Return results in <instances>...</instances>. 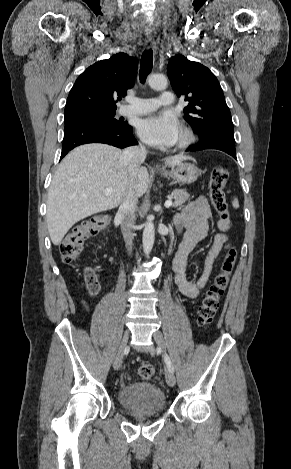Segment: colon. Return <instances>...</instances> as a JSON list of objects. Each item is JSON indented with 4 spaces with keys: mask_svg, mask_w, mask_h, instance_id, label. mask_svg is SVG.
<instances>
[{
    "mask_svg": "<svg viewBox=\"0 0 291 469\" xmlns=\"http://www.w3.org/2000/svg\"><path fill=\"white\" fill-rule=\"evenodd\" d=\"M228 178V169L224 166H216L212 170L208 185L210 201L215 212L220 219L227 222L230 217L224 189ZM108 221L109 219L106 215L99 214L71 228L60 245V254L63 262L67 264L75 262L82 250L84 241L104 229ZM236 260L237 250L231 247L226 252L221 269L214 277L200 304L198 310V324L200 326H207L213 321L219 308L221 297L229 284L230 275ZM91 274V271H86V275L91 276ZM153 374L154 368L151 364H143L138 369V375L143 380L151 379Z\"/></svg>",
    "mask_w": 291,
    "mask_h": 469,
    "instance_id": "obj_1",
    "label": "colon"
}]
</instances>
